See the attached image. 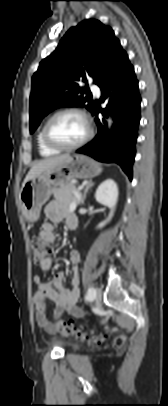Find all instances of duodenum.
<instances>
[{
	"mask_svg": "<svg viewBox=\"0 0 168 406\" xmlns=\"http://www.w3.org/2000/svg\"><path fill=\"white\" fill-rule=\"evenodd\" d=\"M77 227V222L73 221L69 223V228L75 229Z\"/></svg>",
	"mask_w": 168,
	"mask_h": 406,
	"instance_id": "410a0bca",
	"label": "duodenum"
}]
</instances>
